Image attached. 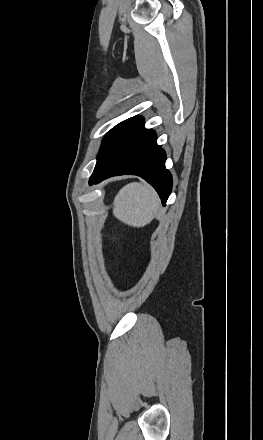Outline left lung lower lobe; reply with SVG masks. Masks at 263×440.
I'll return each mask as SVG.
<instances>
[{
  "instance_id": "0a47b994",
  "label": "left lung lower lobe",
  "mask_w": 263,
  "mask_h": 440,
  "mask_svg": "<svg viewBox=\"0 0 263 440\" xmlns=\"http://www.w3.org/2000/svg\"><path fill=\"white\" fill-rule=\"evenodd\" d=\"M156 139L155 132L144 127V119L135 116L107 164L99 172H93L89 184L115 175H138L156 189L165 205L172 189V176L165 168V151Z\"/></svg>"
}]
</instances>
